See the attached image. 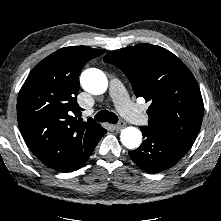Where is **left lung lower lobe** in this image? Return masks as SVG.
<instances>
[{"label":"left lung lower lobe","instance_id":"1","mask_svg":"<svg viewBox=\"0 0 221 221\" xmlns=\"http://www.w3.org/2000/svg\"><path fill=\"white\" fill-rule=\"evenodd\" d=\"M143 142L141 146L128 154L140 169L149 173H158L174 166L188 151L191 145L141 127Z\"/></svg>","mask_w":221,"mask_h":221}]
</instances>
